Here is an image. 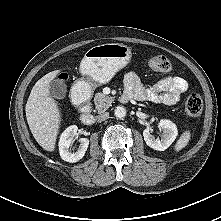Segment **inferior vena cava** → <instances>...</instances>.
Masks as SVG:
<instances>
[{"mask_svg": "<svg viewBox=\"0 0 221 221\" xmlns=\"http://www.w3.org/2000/svg\"><path fill=\"white\" fill-rule=\"evenodd\" d=\"M109 117V113L105 112L97 116L99 122L105 121Z\"/></svg>", "mask_w": 221, "mask_h": 221, "instance_id": "602c4592", "label": "inferior vena cava"}]
</instances>
